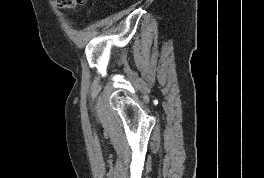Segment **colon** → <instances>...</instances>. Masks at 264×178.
<instances>
[{
	"mask_svg": "<svg viewBox=\"0 0 264 178\" xmlns=\"http://www.w3.org/2000/svg\"><path fill=\"white\" fill-rule=\"evenodd\" d=\"M53 4L61 9H75L86 3V0H52Z\"/></svg>",
	"mask_w": 264,
	"mask_h": 178,
	"instance_id": "colon-1",
	"label": "colon"
}]
</instances>
